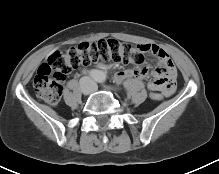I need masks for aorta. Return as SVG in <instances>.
Wrapping results in <instances>:
<instances>
[{
  "label": "aorta",
  "instance_id": "aorta-1",
  "mask_svg": "<svg viewBox=\"0 0 219 174\" xmlns=\"http://www.w3.org/2000/svg\"><path fill=\"white\" fill-rule=\"evenodd\" d=\"M106 79V74L103 71H99V74L97 76V81L98 82H103Z\"/></svg>",
  "mask_w": 219,
  "mask_h": 174
}]
</instances>
